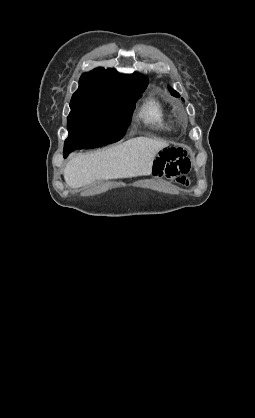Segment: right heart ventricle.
<instances>
[{
	"label": "right heart ventricle",
	"mask_w": 255,
	"mask_h": 418,
	"mask_svg": "<svg viewBox=\"0 0 255 418\" xmlns=\"http://www.w3.org/2000/svg\"><path fill=\"white\" fill-rule=\"evenodd\" d=\"M138 117L148 127L155 129H170L173 124L171 113L163 103L149 96L141 105Z\"/></svg>",
	"instance_id": "obj_1"
}]
</instances>
